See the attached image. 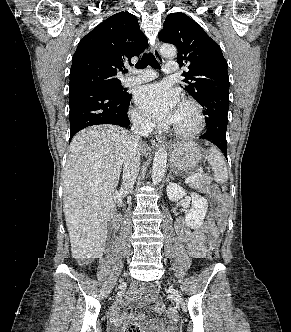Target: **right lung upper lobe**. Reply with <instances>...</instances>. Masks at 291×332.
<instances>
[{
	"instance_id": "obj_1",
	"label": "right lung upper lobe",
	"mask_w": 291,
	"mask_h": 332,
	"mask_svg": "<svg viewBox=\"0 0 291 332\" xmlns=\"http://www.w3.org/2000/svg\"><path fill=\"white\" fill-rule=\"evenodd\" d=\"M147 46L133 14L119 12L107 18L79 42L72 58L69 91L97 81L120 82L116 76L124 62H130Z\"/></svg>"
}]
</instances>
